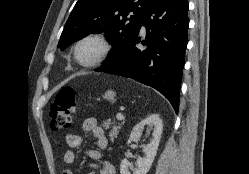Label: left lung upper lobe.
<instances>
[{
  "label": "left lung upper lobe",
  "mask_w": 249,
  "mask_h": 174,
  "mask_svg": "<svg viewBox=\"0 0 249 174\" xmlns=\"http://www.w3.org/2000/svg\"><path fill=\"white\" fill-rule=\"evenodd\" d=\"M151 1L78 0L64 26L58 48L64 49L91 33L105 32L113 48L103 66L115 64L138 35Z\"/></svg>",
  "instance_id": "obj_1"
}]
</instances>
